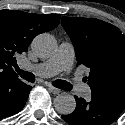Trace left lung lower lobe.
Here are the masks:
<instances>
[{"label": "left lung lower lobe", "mask_w": 125, "mask_h": 125, "mask_svg": "<svg viewBox=\"0 0 125 125\" xmlns=\"http://www.w3.org/2000/svg\"><path fill=\"white\" fill-rule=\"evenodd\" d=\"M76 99V109L69 115H62L70 125H110L125 109V97L111 94H92L91 100Z\"/></svg>", "instance_id": "obj_1"}]
</instances>
